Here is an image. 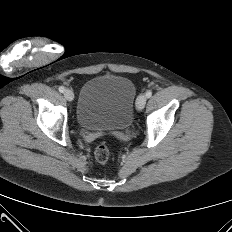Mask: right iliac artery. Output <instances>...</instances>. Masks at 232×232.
Instances as JSON below:
<instances>
[{
  "label": "right iliac artery",
  "mask_w": 232,
  "mask_h": 232,
  "mask_svg": "<svg viewBox=\"0 0 232 232\" xmlns=\"http://www.w3.org/2000/svg\"><path fill=\"white\" fill-rule=\"evenodd\" d=\"M65 91V88L64 87H59V92L63 93Z\"/></svg>",
  "instance_id": "1"
}]
</instances>
